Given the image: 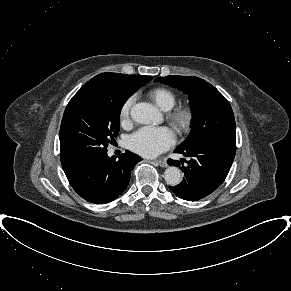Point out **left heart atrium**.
Returning a JSON list of instances; mask_svg holds the SVG:
<instances>
[{"label":"left heart atrium","instance_id":"39dd6f15","mask_svg":"<svg viewBox=\"0 0 291 291\" xmlns=\"http://www.w3.org/2000/svg\"><path fill=\"white\" fill-rule=\"evenodd\" d=\"M174 134L167 127L145 126L138 129L128 138V147L134 152L155 157L174 144Z\"/></svg>","mask_w":291,"mask_h":291}]
</instances>
